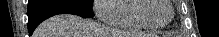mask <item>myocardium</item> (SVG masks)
I'll return each instance as SVG.
<instances>
[{
  "instance_id": "1",
  "label": "myocardium",
  "mask_w": 219,
  "mask_h": 37,
  "mask_svg": "<svg viewBox=\"0 0 219 37\" xmlns=\"http://www.w3.org/2000/svg\"><path fill=\"white\" fill-rule=\"evenodd\" d=\"M148 1L149 0H138L137 5H136V9H135V13H136L137 18L140 21H142L145 25L152 27V28H162V27L169 25L175 16V9L173 7L172 1L166 0L168 5L171 8V16L166 22H163V23L152 22L151 20H149L146 17L145 13L150 8Z\"/></svg>"
}]
</instances>
